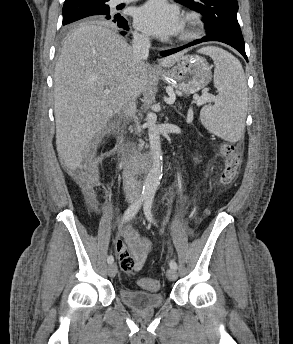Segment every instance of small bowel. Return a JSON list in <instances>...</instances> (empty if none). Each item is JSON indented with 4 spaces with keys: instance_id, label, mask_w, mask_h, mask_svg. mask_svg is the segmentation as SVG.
Returning a JSON list of instances; mask_svg holds the SVG:
<instances>
[{
    "instance_id": "obj_1",
    "label": "small bowel",
    "mask_w": 293,
    "mask_h": 344,
    "mask_svg": "<svg viewBox=\"0 0 293 344\" xmlns=\"http://www.w3.org/2000/svg\"><path fill=\"white\" fill-rule=\"evenodd\" d=\"M92 201L97 204L93 191H89ZM114 247L118 254L120 268L125 273H133L142 269L148 255L153 249L152 241L139 234L129 226L120 231V237L115 238Z\"/></svg>"
}]
</instances>
